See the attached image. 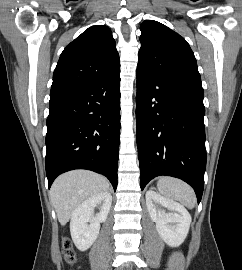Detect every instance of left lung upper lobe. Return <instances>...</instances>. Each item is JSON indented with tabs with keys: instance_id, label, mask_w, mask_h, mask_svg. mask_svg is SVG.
I'll return each instance as SVG.
<instances>
[{
	"instance_id": "1",
	"label": "left lung upper lobe",
	"mask_w": 242,
	"mask_h": 270,
	"mask_svg": "<svg viewBox=\"0 0 242 270\" xmlns=\"http://www.w3.org/2000/svg\"><path fill=\"white\" fill-rule=\"evenodd\" d=\"M140 30L138 67L164 80L203 91L194 53L183 37L154 20L144 21Z\"/></svg>"
}]
</instances>
